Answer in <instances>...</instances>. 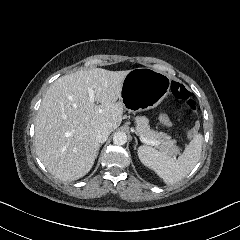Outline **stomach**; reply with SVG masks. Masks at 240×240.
<instances>
[{"mask_svg":"<svg viewBox=\"0 0 240 240\" xmlns=\"http://www.w3.org/2000/svg\"><path fill=\"white\" fill-rule=\"evenodd\" d=\"M170 77L152 68L130 70L123 82L120 102L131 113L157 107L170 90Z\"/></svg>","mask_w":240,"mask_h":240,"instance_id":"obj_1","label":"stomach"}]
</instances>
